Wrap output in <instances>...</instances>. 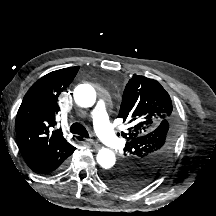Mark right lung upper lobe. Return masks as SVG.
<instances>
[{"label":"right lung upper lobe","mask_w":216,"mask_h":216,"mask_svg":"<svg viewBox=\"0 0 216 216\" xmlns=\"http://www.w3.org/2000/svg\"><path fill=\"white\" fill-rule=\"evenodd\" d=\"M79 66L53 71L40 78L28 90L16 116L19 150L31 170L38 172L70 156L75 147L54 130L55 115L60 110L57 99L73 81Z\"/></svg>","instance_id":"obj_1"}]
</instances>
